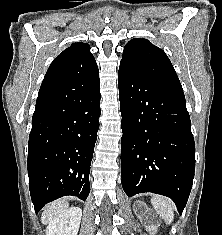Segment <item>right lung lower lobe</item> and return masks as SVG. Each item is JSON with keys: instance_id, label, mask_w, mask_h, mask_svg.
<instances>
[{"instance_id": "1", "label": "right lung lower lobe", "mask_w": 222, "mask_h": 235, "mask_svg": "<svg viewBox=\"0 0 222 235\" xmlns=\"http://www.w3.org/2000/svg\"><path fill=\"white\" fill-rule=\"evenodd\" d=\"M100 98L98 72L70 82H42L28 151L29 189L36 214L62 196L87 199Z\"/></svg>"}]
</instances>
